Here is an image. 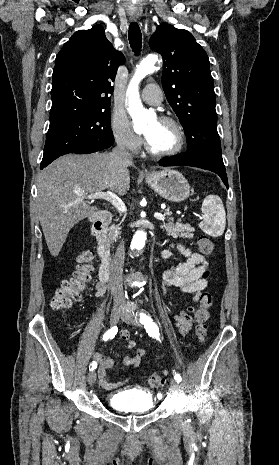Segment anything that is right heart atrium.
Masks as SVG:
<instances>
[{"instance_id":"right-heart-atrium-1","label":"right heart atrium","mask_w":279,"mask_h":465,"mask_svg":"<svg viewBox=\"0 0 279 465\" xmlns=\"http://www.w3.org/2000/svg\"><path fill=\"white\" fill-rule=\"evenodd\" d=\"M111 131L116 144L123 150L136 152L141 146L140 137L133 132L127 118L115 113L111 121Z\"/></svg>"}]
</instances>
